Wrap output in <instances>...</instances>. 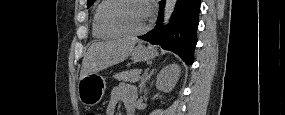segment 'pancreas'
<instances>
[{"label": "pancreas", "mask_w": 285, "mask_h": 115, "mask_svg": "<svg viewBox=\"0 0 285 115\" xmlns=\"http://www.w3.org/2000/svg\"><path fill=\"white\" fill-rule=\"evenodd\" d=\"M140 70L132 69L115 74L114 78L118 81L135 82L138 80Z\"/></svg>", "instance_id": "obj_1"}]
</instances>
